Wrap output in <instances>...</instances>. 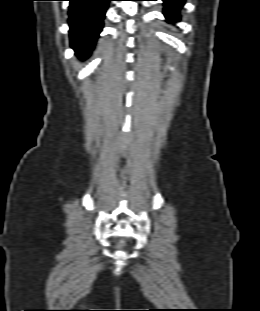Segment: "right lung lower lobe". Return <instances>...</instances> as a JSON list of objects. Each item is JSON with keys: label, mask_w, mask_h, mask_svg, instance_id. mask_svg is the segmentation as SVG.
Instances as JSON below:
<instances>
[{"label": "right lung lower lobe", "mask_w": 260, "mask_h": 311, "mask_svg": "<svg viewBox=\"0 0 260 311\" xmlns=\"http://www.w3.org/2000/svg\"><path fill=\"white\" fill-rule=\"evenodd\" d=\"M71 46L80 58L89 56L103 27L110 0H68Z\"/></svg>", "instance_id": "obj_1"}]
</instances>
